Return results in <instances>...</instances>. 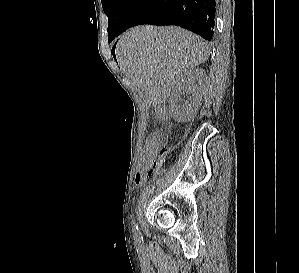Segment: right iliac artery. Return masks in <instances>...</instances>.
<instances>
[{"instance_id": "right-iliac-artery-1", "label": "right iliac artery", "mask_w": 299, "mask_h": 273, "mask_svg": "<svg viewBox=\"0 0 299 273\" xmlns=\"http://www.w3.org/2000/svg\"><path fill=\"white\" fill-rule=\"evenodd\" d=\"M139 230H138V227L137 226H135V228H134V235L137 237V236H139Z\"/></svg>"}]
</instances>
